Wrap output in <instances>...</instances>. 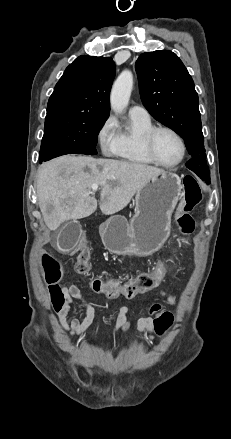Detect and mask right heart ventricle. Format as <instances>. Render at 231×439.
<instances>
[{
	"instance_id": "right-heart-ventricle-1",
	"label": "right heart ventricle",
	"mask_w": 231,
	"mask_h": 439,
	"mask_svg": "<svg viewBox=\"0 0 231 439\" xmlns=\"http://www.w3.org/2000/svg\"><path fill=\"white\" fill-rule=\"evenodd\" d=\"M153 127L151 120L130 117L126 127L118 130V144L114 155L125 162L149 166L154 163L146 155L143 145V135Z\"/></svg>"
}]
</instances>
